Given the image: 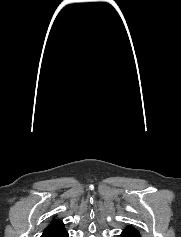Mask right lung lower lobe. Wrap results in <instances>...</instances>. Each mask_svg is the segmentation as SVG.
Returning <instances> with one entry per match:
<instances>
[{
  "mask_svg": "<svg viewBox=\"0 0 181 237\" xmlns=\"http://www.w3.org/2000/svg\"><path fill=\"white\" fill-rule=\"evenodd\" d=\"M61 237H69L68 233H64L63 235H61Z\"/></svg>",
  "mask_w": 181,
  "mask_h": 237,
  "instance_id": "obj_1",
  "label": "right lung lower lobe"
}]
</instances>
